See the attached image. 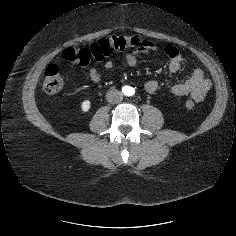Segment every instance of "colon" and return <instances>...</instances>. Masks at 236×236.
<instances>
[{"label":"colon","instance_id":"colon-1","mask_svg":"<svg viewBox=\"0 0 236 236\" xmlns=\"http://www.w3.org/2000/svg\"><path fill=\"white\" fill-rule=\"evenodd\" d=\"M141 43L137 37L114 35L102 38L88 47L66 48L62 51L61 58L68 63L87 66L91 61H102L115 51L134 48ZM63 84L60 68L55 64L49 65L44 74V91L48 94L58 93ZM186 106L192 109L194 107L193 101L188 100Z\"/></svg>","mask_w":236,"mask_h":236}]
</instances>
